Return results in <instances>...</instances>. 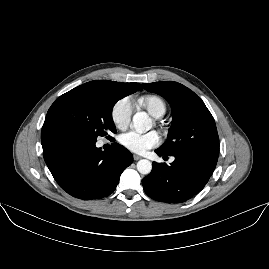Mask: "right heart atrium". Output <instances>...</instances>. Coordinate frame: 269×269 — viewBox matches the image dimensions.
<instances>
[{"instance_id":"d8ad5b80","label":"right heart atrium","mask_w":269,"mask_h":269,"mask_svg":"<svg viewBox=\"0 0 269 269\" xmlns=\"http://www.w3.org/2000/svg\"><path fill=\"white\" fill-rule=\"evenodd\" d=\"M133 114V100L126 96L117 100L111 108L110 117L114 126L125 129Z\"/></svg>"}]
</instances>
